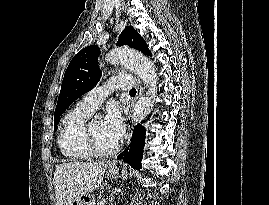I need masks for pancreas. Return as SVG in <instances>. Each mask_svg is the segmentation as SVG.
Returning a JSON list of instances; mask_svg holds the SVG:
<instances>
[{"label":"pancreas","instance_id":"pancreas-1","mask_svg":"<svg viewBox=\"0 0 269 205\" xmlns=\"http://www.w3.org/2000/svg\"><path fill=\"white\" fill-rule=\"evenodd\" d=\"M97 205H104V204H102L101 202H98Z\"/></svg>","mask_w":269,"mask_h":205}]
</instances>
